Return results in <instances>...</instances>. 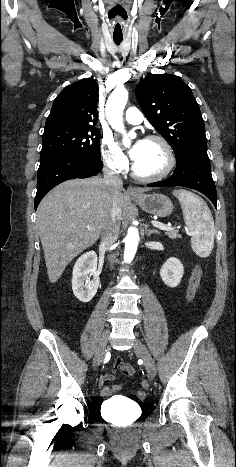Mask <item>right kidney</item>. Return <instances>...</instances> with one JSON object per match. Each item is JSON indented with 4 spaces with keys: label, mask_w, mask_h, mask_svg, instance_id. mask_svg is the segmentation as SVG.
<instances>
[{
    "label": "right kidney",
    "mask_w": 236,
    "mask_h": 467,
    "mask_svg": "<svg viewBox=\"0 0 236 467\" xmlns=\"http://www.w3.org/2000/svg\"><path fill=\"white\" fill-rule=\"evenodd\" d=\"M97 261L96 253L89 251L79 257L74 265L72 290L76 298L81 302L91 301L98 290L100 278L97 271ZM91 276H93V279L88 283Z\"/></svg>",
    "instance_id": "ca27d5eb"
}]
</instances>
